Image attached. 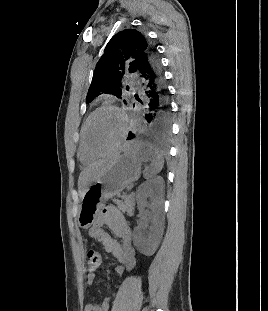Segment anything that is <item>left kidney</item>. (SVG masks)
Listing matches in <instances>:
<instances>
[{
    "mask_svg": "<svg viewBox=\"0 0 268 311\" xmlns=\"http://www.w3.org/2000/svg\"><path fill=\"white\" fill-rule=\"evenodd\" d=\"M164 180L157 176L140 185L136 194L138 209L142 214L139 226L133 231V243L136 249L151 256L157 250L164 230L163 222ZM150 199V203L147 202ZM148 206L149 210L144 208ZM148 228V231H144Z\"/></svg>",
    "mask_w": 268,
    "mask_h": 311,
    "instance_id": "obj_1",
    "label": "left kidney"
}]
</instances>
